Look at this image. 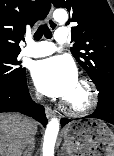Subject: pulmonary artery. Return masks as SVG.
<instances>
[{
  "label": "pulmonary artery",
  "instance_id": "e3ab8cb5",
  "mask_svg": "<svg viewBox=\"0 0 114 156\" xmlns=\"http://www.w3.org/2000/svg\"><path fill=\"white\" fill-rule=\"evenodd\" d=\"M68 39V32L65 28H59L55 32V40L59 44H63ZM56 51L53 43L42 41L34 42L30 38L27 39V45L23 48L22 54L27 57H45Z\"/></svg>",
  "mask_w": 114,
  "mask_h": 156
}]
</instances>
